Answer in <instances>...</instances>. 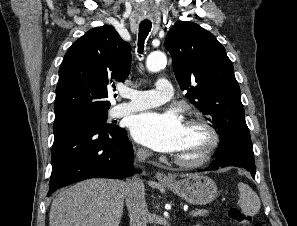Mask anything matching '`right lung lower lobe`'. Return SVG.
<instances>
[{
	"instance_id": "1",
	"label": "right lung lower lobe",
	"mask_w": 297,
	"mask_h": 226,
	"mask_svg": "<svg viewBox=\"0 0 297 226\" xmlns=\"http://www.w3.org/2000/svg\"><path fill=\"white\" fill-rule=\"evenodd\" d=\"M50 196L57 189L89 178L124 179L134 173L133 147L124 129L106 130L80 115L53 125Z\"/></svg>"
}]
</instances>
